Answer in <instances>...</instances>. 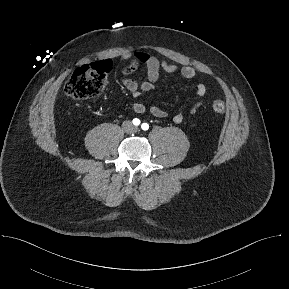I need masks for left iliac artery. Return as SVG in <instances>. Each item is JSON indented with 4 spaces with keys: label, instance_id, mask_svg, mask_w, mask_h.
Wrapping results in <instances>:
<instances>
[{
    "label": "left iliac artery",
    "instance_id": "left-iliac-artery-1",
    "mask_svg": "<svg viewBox=\"0 0 289 289\" xmlns=\"http://www.w3.org/2000/svg\"><path fill=\"white\" fill-rule=\"evenodd\" d=\"M141 128H142L144 131H146V130H148L149 125H148L147 123H143V124L141 125Z\"/></svg>",
    "mask_w": 289,
    "mask_h": 289
}]
</instances>
